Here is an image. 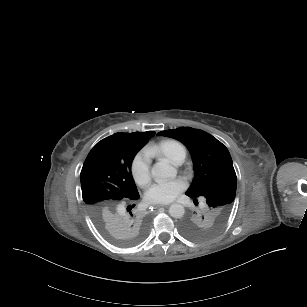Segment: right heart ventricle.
I'll use <instances>...</instances> for the list:
<instances>
[{
    "label": "right heart ventricle",
    "mask_w": 307,
    "mask_h": 307,
    "mask_svg": "<svg viewBox=\"0 0 307 307\" xmlns=\"http://www.w3.org/2000/svg\"><path fill=\"white\" fill-rule=\"evenodd\" d=\"M171 159L176 156L186 157L189 153V146L181 140L170 138L165 141L161 152Z\"/></svg>",
    "instance_id": "right-heart-ventricle-1"
}]
</instances>
